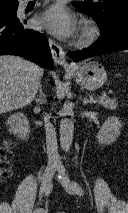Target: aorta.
<instances>
[{"mask_svg": "<svg viewBox=\"0 0 128 213\" xmlns=\"http://www.w3.org/2000/svg\"><path fill=\"white\" fill-rule=\"evenodd\" d=\"M60 145L66 152L69 151L74 135V120L73 116V105L69 102H65L60 111Z\"/></svg>", "mask_w": 128, "mask_h": 213, "instance_id": "aorta-1", "label": "aorta"}]
</instances>
